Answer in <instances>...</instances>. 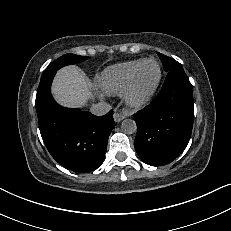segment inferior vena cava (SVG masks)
<instances>
[{
  "label": "inferior vena cava",
  "mask_w": 231,
  "mask_h": 231,
  "mask_svg": "<svg viewBox=\"0 0 231 231\" xmlns=\"http://www.w3.org/2000/svg\"><path fill=\"white\" fill-rule=\"evenodd\" d=\"M111 109V106L106 102H100L95 105H92L90 111L92 114L97 116H102L108 113Z\"/></svg>",
  "instance_id": "1"
}]
</instances>
